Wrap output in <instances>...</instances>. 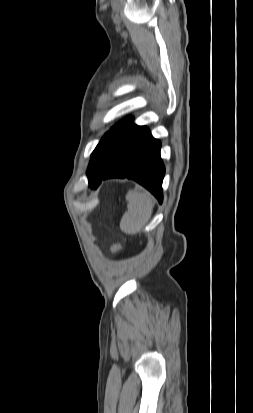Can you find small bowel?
Instances as JSON below:
<instances>
[{
	"label": "small bowel",
	"mask_w": 253,
	"mask_h": 413,
	"mask_svg": "<svg viewBox=\"0 0 253 413\" xmlns=\"http://www.w3.org/2000/svg\"><path fill=\"white\" fill-rule=\"evenodd\" d=\"M118 248H119V246L114 245V246L112 247V251H113V252H115V251H117V250H118Z\"/></svg>",
	"instance_id": "c3829d8e"
}]
</instances>
